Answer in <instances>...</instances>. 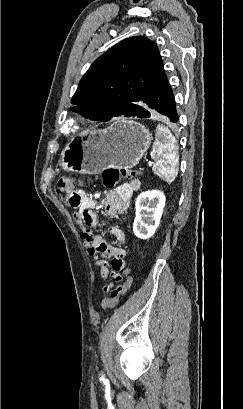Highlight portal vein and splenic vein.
<instances>
[{
  "label": "portal vein and splenic vein",
  "mask_w": 243,
  "mask_h": 409,
  "mask_svg": "<svg viewBox=\"0 0 243 409\" xmlns=\"http://www.w3.org/2000/svg\"><path fill=\"white\" fill-rule=\"evenodd\" d=\"M152 164H153L152 162H149V167H151V166H152Z\"/></svg>",
  "instance_id": "obj_1"
}]
</instances>
